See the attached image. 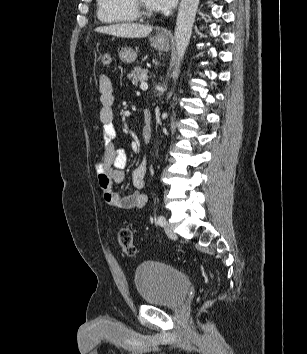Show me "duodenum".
<instances>
[{
    "instance_id": "410a0bca",
    "label": "duodenum",
    "mask_w": 307,
    "mask_h": 354,
    "mask_svg": "<svg viewBox=\"0 0 307 354\" xmlns=\"http://www.w3.org/2000/svg\"><path fill=\"white\" fill-rule=\"evenodd\" d=\"M152 119V113L149 109L144 110L143 112V120L146 125H148L151 122Z\"/></svg>"
}]
</instances>
